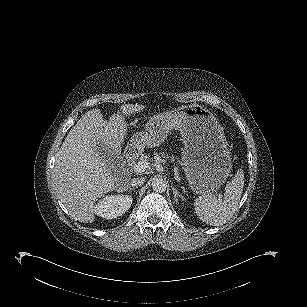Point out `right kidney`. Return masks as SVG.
<instances>
[{"label":"right kidney","instance_id":"1","mask_svg":"<svg viewBox=\"0 0 307 307\" xmlns=\"http://www.w3.org/2000/svg\"><path fill=\"white\" fill-rule=\"evenodd\" d=\"M129 195H107L94 206V213L105 219H113L126 213L132 204Z\"/></svg>","mask_w":307,"mask_h":307}]
</instances>
